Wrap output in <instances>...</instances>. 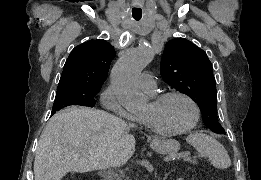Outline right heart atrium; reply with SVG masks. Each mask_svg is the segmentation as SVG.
<instances>
[{
  "mask_svg": "<svg viewBox=\"0 0 261 180\" xmlns=\"http://www.w3.org/2000/svg\"><path fill=\"white\" fill-rule=\"evenodd\" d=\"M101 104L103 108H110V112H117L118 117H125L128 120L127 127H132L130 114L120 106L118 99L114 95L112 85H109L101 94Z\"/></svg>",
  "mask_w": 261,
  "mask_h": 180,
  "instance_id": "right-heart-atrium-1",
  "label": "right heart atrium"
}]
</instances>
